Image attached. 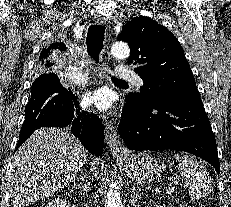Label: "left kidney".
Here are the masks:
<instances>
[{
	"label": "left kidney",
	"instance_id": "1",
	"mask_svg": "<svg viewBox=\"0 0 231 207\" xmlns=\"http://www.w3.org/2000/svg\"><path fill=\"white\" fill-rule=\"evenodd\" d=\"M154 207H166L165 205H157V206H154Z\"/></svg>",
	"mask_w": 231,
	"mask_h": 207
}]
</instances>
